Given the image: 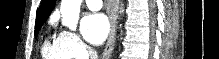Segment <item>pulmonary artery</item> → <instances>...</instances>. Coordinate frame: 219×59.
<instances>
[{
	"label": "pulmonary artery",
	"instance_id": "e3ab8cb5",
	"mask_svg": "<svg viewBox=\"0 0 219 59\" xmlns=\"http://www.w3.org/2000/svg\"><path fill=\"white\" fill-rule=\"evenodd\" d=\"M85 2L91 10H99L102 8V1L100 0H86Z\"/></svg>",
	"mask_w": 219,
	"mask_h": 59
}]
</instances>
